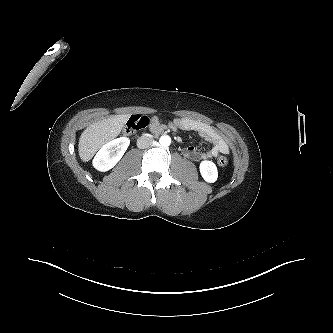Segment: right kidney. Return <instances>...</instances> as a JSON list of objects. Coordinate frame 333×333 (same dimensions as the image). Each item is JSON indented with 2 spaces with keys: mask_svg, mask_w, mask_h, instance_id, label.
<instances>
[{
  "mask_svg": "<svg viewBox=\"0 0 333 333\" xmlns=\"http://www.w3.org/2000/svg\"><path fill=\"white\" fill-rule=\"evenodd\" d=\"M130 144L129 138L120 137L105 144L95 155L93 167L101 172L112 169L122 158Z\"/></svg>",
  "mask_w": 333,
  "mask_h": 333,
  "instance_id": "right-kidney-1",
  "label": "right kidney"
}]
</instances>
